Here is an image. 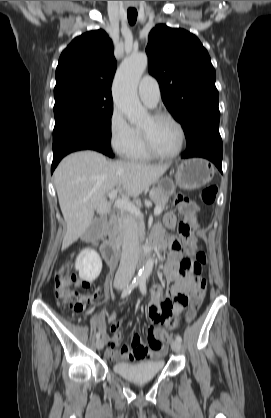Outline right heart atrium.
Here are the masks:
<instances>
[{"label":"right heart atrium","instance_id":"d8ad5b80","mask_svg":"<svg viewBox=\"0 0 271 418\" xmlns=\"http://www.w3.org/2000/svg\"><path fill=\"white\" fill-rule=\"evenodd\" d=\"M134 128L128 123L122 111L114 106L109 117V141L113 150L125 156L134 142Z\"/></svg>","mask_w":271,"mask_h":418}]
</instances>
